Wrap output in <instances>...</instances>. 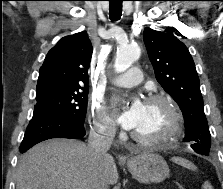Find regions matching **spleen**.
Returning a JSON list of instances; mask_svg holds the SVG:
<instances>
[{
    "label": "spleen",
    "instance_id": "3e777b00",
    "mask_svg": "<svg viewBox=\"0 0 223 189\" xmlns=\"http://www.w3.org/2000/svg\"><path fill=\"white\" fill-rule=\"evenodd\" d=\"M172 161L178 165H181V166L187 168V169L196 170V166L184 158L173 157ZM203 188L204 189H212V186L208 182H205L203 185Z\"/></svg>",
    "mask_w": 223,
    "mask_h": 189
}]
</instances>
